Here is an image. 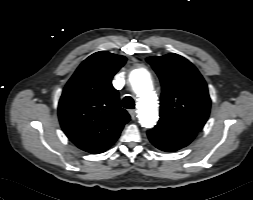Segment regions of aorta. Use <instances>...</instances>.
I'll return each instance as SVG.
<instances>
[{
  "label": "aorta",
  "instance_id": "762f6f07",
  "mask_svg": "<svg viewBox=\"0 0 253 200\" xmlns=\"http://www.w3.org/2000/svg\"><path fill=\"white\" fill-rule=\"evenodd\" d=\"M132 88L137 95L139 123L152 128L158 121V101L153 91L150 73L143 68L133 70L130 76Z\"/></svg>",
  "mask_w": 253,
  "mask_h": 200
}]
</instances>
